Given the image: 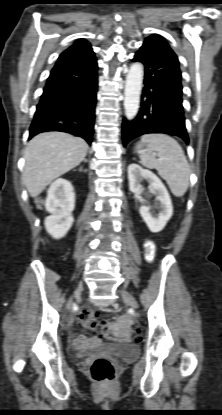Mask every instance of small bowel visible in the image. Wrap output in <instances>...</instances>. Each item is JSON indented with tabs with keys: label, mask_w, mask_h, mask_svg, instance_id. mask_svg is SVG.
Returning a JSON list of instances; mask_svg holds the SVG:
<instances>
[{
	"label": "small bowel",
	"mask_w": 222,
	"mask_h": 415,
	"mask_svg": "<svg viewBox=\"0 0 222 415\" xmlns=\"http://www.w3.org/2000/svg\"><path fill=\"white\" fill-rule=\"evenodd\" d=\"M144 245L148 258L152 259L155 253V243L152 240H146ZM83 341H85V338H80L77 340V342Z\"/></svg>",
	"instance_id": "1"
}]
</instances>
